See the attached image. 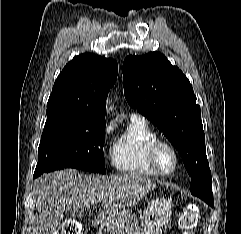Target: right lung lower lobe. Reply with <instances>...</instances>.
<instances>
[{
	"label": "right lung lower lobe",
	"instance_id": "right-lung-lower-lobe-1",
	"mask_svg": "<svg viewBox=\"0 0 241 234\" xmlns=\"http://www.w3.org/2000/svg\"><path fill=\"white\" fill-rule=\"evenodd\" d=\"M38 176H40V175H36V174H34V178H36V177H38Z\"/></svg>",
	"mask_w": 241,
	"mask_h": 234
}]
</instances>
